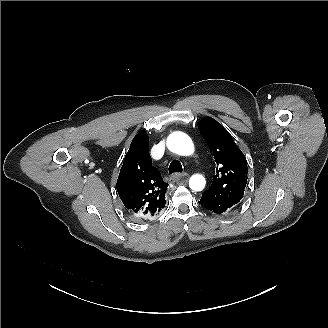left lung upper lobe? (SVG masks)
Masks as SVG:
<instances>
[{"instance_id":"5c2ea615","label":"left lung upper lobe","mask_w":328,"mask_h":328,"mask_svg":"<svg viewBox=\"0 0 328 328\" xmlns=\"http://www.w3.org/2000/svg\"><path fill=\"white\" fill-rule=\"evenodd\" d=\"M198 127L217 164L212 185L202 194L200 203L204 208L221 214L243 198L247 161L230 133L215 119L206 117L198 122Z\"/></svg>"}]
</instances>
